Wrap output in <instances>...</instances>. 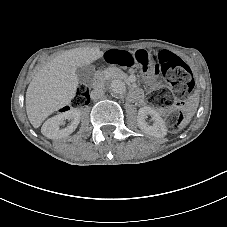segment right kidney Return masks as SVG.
<instances>
[{"label": "right kidney", "instance_id": "right-kidney-1", "mask_svg": "<svg viewBox=\"0 0 227 227\" xmlns=\"http://www.w3.org/2000/svg\"><path fill=\"white\" fill-rule=\"evenodd\" d=\"M80 118V110L71 108L45 121L41 127V133L48 139L66 137L75 131L80 122ZM65 120H70L71 124L66 128L60 129V125H62Z\"/></svg>", "mask_w": 227, "mask_h": 227}]
</instances>
